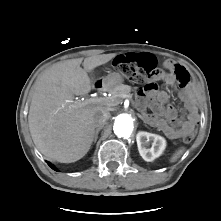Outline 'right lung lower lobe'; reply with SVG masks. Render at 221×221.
Here are the masks:
<instances>
[{
  "label": "right lung lower lobe",
  "instance_id": "1",
  "mask_svg": "<svg viewBox=\"0 0 221 221\" xmlns=\"http://www.w3.org/2000/svg\"><path fill=\"white\" fill-rule=\"evenodd\" d=\"M47 163L53 170L57 171V169L51 163H49V162H47Z\"/></svg>",
  "mask_w": 221,
  "mask_h": 221
}]
</instances>
